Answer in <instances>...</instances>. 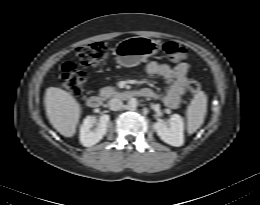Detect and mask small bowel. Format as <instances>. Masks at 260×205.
I'll list each match as a JSON object with an SVG mask.
<instances>
[{
  "mask_svg": "<svg viewBox=\"0 0 260 205\" xmlns=\"http://www.w3.org/2000/svg\"><path fill=\"white\" fill-rule=\"evenodd\" d=\"M190 66L187 63H180L174 67L167 63L151 61L146 66V71L150 76L160 77L167 89L163 95L150 88H143L142 96L150 98H160L169 108L176 109L180 106L189 82L188 72Z\"/></svg>",
  "mask_w": 260,
  "mask_h": 205,
  "instance_id": "1",
  "label": "small bowel"
}]
</instances>
